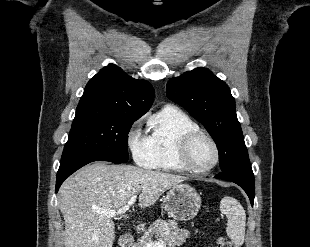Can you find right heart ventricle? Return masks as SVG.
<instances>
[{
	"instance_id": "1",
	"label": "right heart ventricle",
	"mask_w": 310,
	"mask_h": 247,
	"mask_svg": "<svg viewBox=\"0 0 310 247\" xmlns=\"http://www.w3.org/2000/svg\"><path fill=\"white\" fill-rule=\"evenodd\" d=\"M200 129L186 113L173 106H165L148 122L147 143L152 159L149 168L164 171H186L178 151L181 137L192 130Z\"/></svg>"
}]
</instances>
